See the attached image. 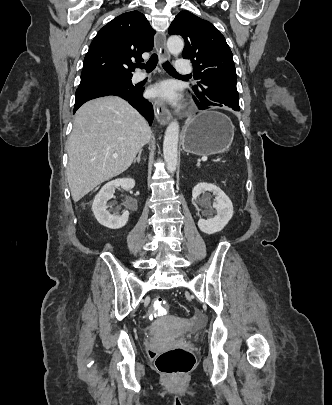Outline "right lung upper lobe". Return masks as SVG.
Returning a JSON list of instances; mask_svg holds the SVG:
<instances>
[{
    "label": "right lung upper lobe",
    "instance_id": "cb5924a9",
    "mask_svg": "<svg viewBox=\"0 0 332 405\" xmlns=\"http://www.w3.org/2000/svg\"><path fill=\"white\" fill-rule=\"evenodd\" d=\"M155 31L139 11L126 12L99 30L84 58L81 76L115 74L132 77L131 59L153 48Z\"/></svg>",
    "mask_w": 332,
    "mask_h": 405
}]
</instances>
